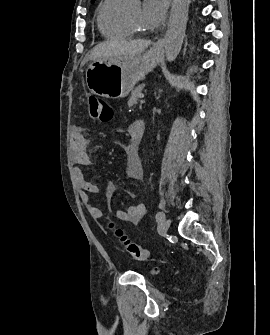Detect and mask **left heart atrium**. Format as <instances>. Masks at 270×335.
<instances>
[{"mask_svg": "<svg viewBox=\"0 0 270 335\" xmlns=\"http://www.w3.org/2000/svg\"><path fill=\"white\" fill-rule=\"evenodd\" d=\"M167 1L146 0L141 12L140 28L148 35H154L163 25L167 13Z\"/></svg>", "mask_w": 270, "mask_h": 335, "instance_id": "left-heart-atrium-1", "label": "left heart atrium"}]
</instances>
